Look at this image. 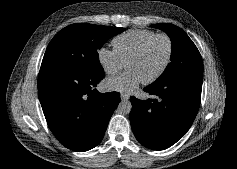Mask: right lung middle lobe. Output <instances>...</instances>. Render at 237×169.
Listing matches in <instances>:
<instances>
[{
	"mask_svg": "<svg viewBox=\"0 0 237 169\" xmlns=\"http://www.w3.org/2000/svg\"><path fill=\"white\" fill-rule=\"evenodd\" d=\"M124 28L76 23L58 32L49 43L41 68H58L95 75L104 70L98 50Z\"/></svg>",
	"mask_w": 237,
	"mask_h": 169,
	"instance_id": "dd1d6c3e",
	"label": "right lung middle lobe"
}]
</instances>
